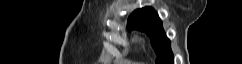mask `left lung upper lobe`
<instances>
[{
  "label": "left lung upper lobe",
  "mask_w": 242,
  "mask_h": 64,
  "mask_svg": "<svg viewBox=\"0 0 242 64\" xmlns=\"http://www.w3.org/2000/svg\"><path fill=\"white\" fill-rule=\"evenodd\" d=\"M128 29L146 32L157 54L155 64H173L174 58L170 40L162 27L157 12L152 7L136 9L128 18Z\"/></svg>",
  "instance_id": "1"
}]
</instances>
